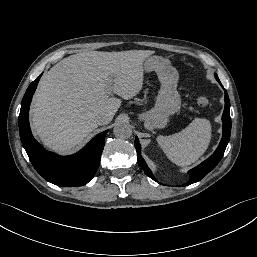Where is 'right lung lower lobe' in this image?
Masks as SVG:
<instances>
[{"label": "right lung lower lobe", "instance_id": "1", "mask_svg": "<svg viewBox=\"0 0 257 257\" xmlns=\"http://www.w3.org/2000/svg\"><path fill=\"white\" fill-rule=\"evenodd\" d=\"M41 75L33 81L22 99L19 133L23 147L36 171L58 186H82L95 175L108 130L96 135L83 149L70 156H58L46 151L32 136L29 126V106Z\"/></svg>", "mask_w": 257, "mask_h": 257}]
</instances>
